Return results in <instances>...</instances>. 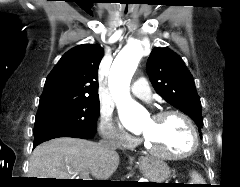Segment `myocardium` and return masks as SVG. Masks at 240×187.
Returning <instances> with one entry per match:
<instances>
[{"instance_id": "f54148a6", "label": "myocardium", "mask_w": 240, "mask_h": 187, "mask_svg": "<svg viewBox=\"0 0 240 187\" xmlns=\"http://www.w3.org/2000/svg\"><path fill=\"white\" fill-rule=\"evenodd\" d=\"M171 115L179 117L183 121V123L186 125V127L189 131V134H190V138H191V143H190L189 148L182 153L161 152V151H157V150L153 149L151 147V145L148 143V141L146 140V138L143 141V147L147 153H149L157 158H160V159H166V160L184 159V158L191 156L192 154H194L196 152L198 145H199L198 133H197L194 123L189 118V116L187 114H185L184 112L177 110V109L161 110L153 115V120H161V119H163L167 116H171Z\"/></svg>"}]
</instances>
